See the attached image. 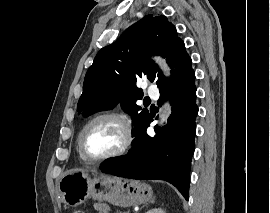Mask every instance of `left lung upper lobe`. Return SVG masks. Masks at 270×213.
<instances>
[{
    "instance_id": "1",
    "label": "left lung upper lobe",
    "mask_w": 270,
    "mask_h": 213,
    "mask_svg": "<svg viewBox=\"0 0 270 213\" xmlns=\"http://www.w3.org/2000/svg\"><path fill=\"white\" fill-rule=\"evenodd\" d=\"M154 54L166 58L172 68L170 82L191 67L184 42L163 15L144 16L98 52L86 73L78 111L87 116L112 109L120 102L123 110L132 116L137 130L150 116L146 109L136 105L143 97L142 90L136 86L137 79L156 80L159 89L169 82L150 59Z\"/></svg>"
}]
</instances>
